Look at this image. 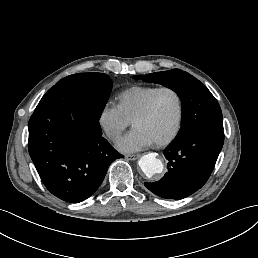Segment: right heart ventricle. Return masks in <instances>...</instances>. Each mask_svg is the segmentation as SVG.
Here are the masks:
<instances>
[{"label":"right heart ventricle","instance_id":"1","mask_svg":"<svg viewBox=\"0 0 258 258\" xmlns=\"http://www.w3.org/2000/svg\"><path fill=\"white\" fill-rule=\"evenodd\" d=\"M157 86H133L123 90L117 97L116 106L129 124H135L143 113Z\"/></svg>","mask_w":258,"mask_h":258}]
</instances>
